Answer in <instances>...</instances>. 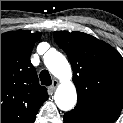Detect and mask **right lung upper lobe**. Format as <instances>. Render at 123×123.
Returning a JSON list of instances; mask_svg holds the SVG:
<instances>
[{"instance_id":"1","label":"right lung upper lobe","mask_w":123,"mask_h":123,"mask_svg":"<svg viewBox=\"0 0 123 123\" xmlns=\"http://www.w3.org/2000/svg\"><path fill=\"white\" fill-rule=\"evenodd\" d=\"M41 33L23 30L1 34V123H34L47 99L30 55Z\"/></svg>"}]
</instances>
